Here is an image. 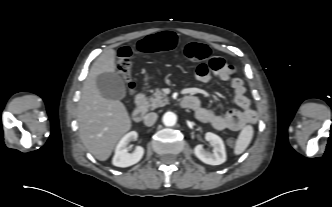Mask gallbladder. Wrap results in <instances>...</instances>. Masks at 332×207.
<instances>
[{
    "label": "gallbladder",
    "instance_id": "gallbladder-1",
    "mask_svg": "<svg viewBox=\"0 0 332 207\" xmlns=\"http://www.w3.org/2000/svg\"><path fill=\"white\" fill-rule=\"evenodd\" d=\"M96 85L106 99L121 100L126 96V88L122 78L115 73H102L96 78Z\"/></svg>",
    "mask_w": 332,
    "mask_h": 207
}]
</instances>
